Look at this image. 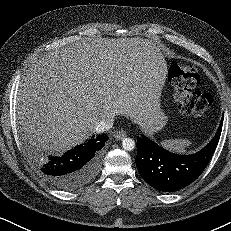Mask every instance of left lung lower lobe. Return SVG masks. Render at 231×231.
Wrapping results in <instances>:
<instances>
[{
	"instance_id": "1",
	"label": "left lung lower lobe",
	"mask_w": 231,
	"mask_h": 231,
	"mask_svg": "<svg viewBox=\"0 0 231 231\" xmlns=\"http://www.w3.org/2000/svg\"><path fill=\"white\" fill-rule=\"evenodd\" d=\"M222 124L223 118L213 139L192 155L174 154L144 135L138 137L136 166L141 177L163 192H175L191 184L211 160L219 142Z\"/></svg>"
}]
</instances>
